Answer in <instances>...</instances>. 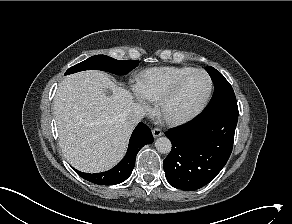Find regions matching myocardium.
Wrapping results in <instances>:
<instances>
[{
	"label": "myocardium",
	"instance_id": "myocardium-1",
	"mask_svg": "<svg viewBox=\"0 0 292 224\" xmlns=\"http://www.w3.org/2000/svg\"><path fill=\"white\" fill-rule=\"evenodd\" d=\"M202 73L205 74L209 80V88L208 92L203 99V101L190 113L187 115L181 116V117H169L166 115V107L167 105L176 97V95L179 93L180 89L184 85V83L193 75ZM214 83L211 75L204 69H195L184 76H182L178 81L175 82V84L158 100L156 111L158 117L165 122L168 125L171 126H178L185 124L191 120H193L195 117H197L208 105L212 93H213Z\"/></svg>",
	"mask_w": 292,
	"mask_h": 224
}]
</instances>
